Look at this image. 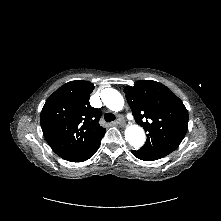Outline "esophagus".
Segmentation results:
<instances>
[{
	"label": "esophagus",
	"mask_w": 221,
	"mask_h": 221,
	"mask_svg": "<svg viewBox=\"0 0 221 221\" xmlns=\"http://www.w3.org/2000/svg\"><path fill=\"white\" fill-rule=\"evenodd\" d=\"M117 125L119 126H124L125 125V122L123 120V118L119 117L116 121Z\"/></svg>",
	"instance_id": "1"
}]
</instances>
